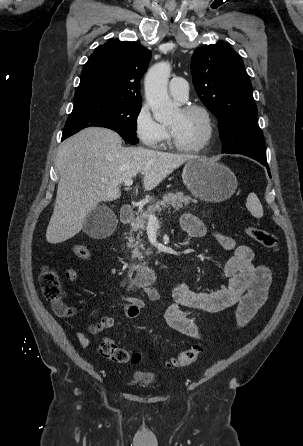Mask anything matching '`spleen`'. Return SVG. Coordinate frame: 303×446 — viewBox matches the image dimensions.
<instances>
[{"label": "spleen", "instance_id": "1", "mask_svg": "<svg viewBox=\"0 0 303 446\" xmlns=\"http://www.w3.org/2000/svg\"><path fill=\"white\" fill-rule=\"evenodd\" d=\"M246 207L255 218L263 216V207L255 193H250L246 199Z\"/></svg>", "mask_w": 303, "mask_h": 446}]
</instances>
